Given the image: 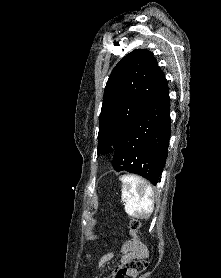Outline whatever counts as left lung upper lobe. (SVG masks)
Segmentation results:
<instances>
[{
  "mask_svg": "<svg viewBox=\"0 0 221 278\" xmlns=\"http://www.w3.org/2000/svg\"><path fill=\"white\" fill-rule=\"evenodd\" d=\"M164 73L145 49L127 54L112 70L101 108L98 154L114 151L155 93Z\"/></svg>",
  "mask_w": 221,
  "mask_h": 278,
  "instance_id": "left-lung-upper-lobe-1",
  "label": "left lung upper lobe"
}]
</instances>
